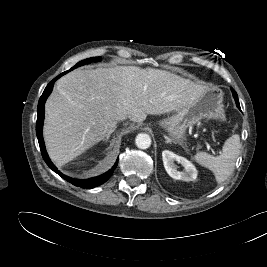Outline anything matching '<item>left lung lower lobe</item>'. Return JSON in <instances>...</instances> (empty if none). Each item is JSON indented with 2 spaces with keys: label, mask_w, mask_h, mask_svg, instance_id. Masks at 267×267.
<instances>
[{
  "label": "left lung lower lobe",
  "mask_w": 267,
  "mask_h": 267,
  "mask_svg": "<svg viewBox=\"0 0 267 267\" xmlns=\"http://www.w3.org/2000/svg\"><path fill=\"white\" fill-rule=\"evenodd\" d=\"M231 91H232V93H233V97H234V99H235L236 105H237V107L240 109V104H239V101H238L237 93H236L235 90L232 89V88H231Z\"/></svg>",
  "instance_id": "1"
}]
</instances>
